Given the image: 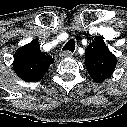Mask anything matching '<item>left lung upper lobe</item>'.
Returning a JSON list of instances; mask_svg holds the SVG:
<instances>
[{
  "instance_id": "5c2ea615",
  "label": "left lung upper lobe",
  "mask_w": 127,
  "mask_h": 127,
  "mask_svg": "<svg viewBox=\"0 0 127 127\" xmlns=\"http://www.w3.org/2000/svg\"><path fill=\"white\" fill-rule=\"evenodd\" d=\"M116 63V57L104 43L103 36H97L90 41L85 50V66L95 82L101 83L111 76Z\"/></svg>"
}]
</instances>
